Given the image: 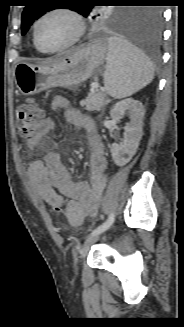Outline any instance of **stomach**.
<instances>
[{
	"label": "stomach",
	"instance_id": "stomach-1",
	"mask_svg": "<svg viewBox=\"0 0 184 327\" xmlns=\"http://www.w3.org/2000/svg\"><path fill=\"white\" fill-rule=\"evenodd\" d=\"M108 54L105 41H95L75 53L44 65L18 63L15 84L23 95H33L52 87L78 88L100 73Z\"/></svg>",
	"mask_w": 184,
	"mask_h": 327
}]
</instances>
